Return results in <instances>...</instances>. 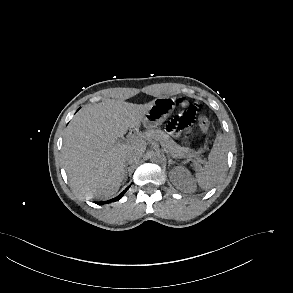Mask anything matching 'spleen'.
<instances>
[{"instance_id": "obj_1", "label": "spleen", "mask_w": 293, "mask_h": 293, "mask_svg": "<svg viewBox=\"0 0 293 293\" xmlns=\"http://www.w3.org/2000/svg\"><path fill=\"white\" fill-rule=\"evenodd\" d=\"M227 143L221 132L208 155V161L195 174V180L202 189L211 188L226 170Z\"/></svg>"}]
</instances>
